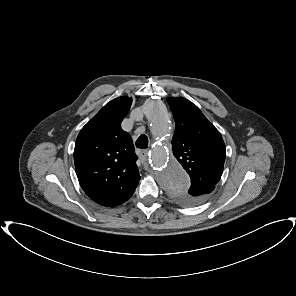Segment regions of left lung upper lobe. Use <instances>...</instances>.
<instances>
[{"mask_svg": "<svg viewBox=\"0 0 296 296\" xmlns=\"http://www.w3.org/2000/svg\"><path fill=\"white\" fill-rule=\"evenodd\" d=\"M176 123L172 150L191 178L186 191L171 192L181 205L192 206L206 200L221 178L226 156L219 131L199 108L185 98L167 99Z\"/></svg>", "mask_w": 296, "mask_h": 296, "instance_id": "1", "label": "left lung upper lobe"}]
</instances>
